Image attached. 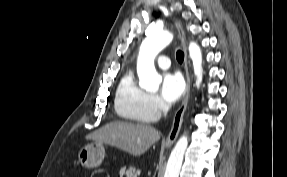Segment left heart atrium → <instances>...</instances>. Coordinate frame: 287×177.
Segmentation results:
<instances>
[{"label": "left heart atrium", "mask_w": 287, "mask_h": 177, "mask_svg": "<svg viewBox=\"0 0 287 177\" xmlns=\"http://www.w3.org/2000/svg\"><path fill=\"white\" fill-rule=\"evenodd\" d=\"M185 91V82L178 72H167L162 79L161 97L166 103L176 102Z\"/></svg>", "instance_id": "39dd6f15"}]
</instances>
